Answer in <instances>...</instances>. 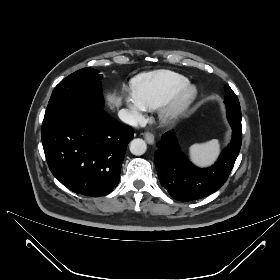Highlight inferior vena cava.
I'll return each mask as SVG.
<instances>
[{
  "label": "inferior vena cava",
  "instance_id": "1",
  "mask_svg": "<svg viewBox=\"0 0 280 280\" xmlns=\"http://www.w3.org/2000/svg\"><path fill=\"white\" fill-rule=\"evenodd\" d=\"M118 117L120 118L121 121H123L133 127L138 126V122H137L136 118L134 117V115L126 109H121L118 112Z\"/></svg>",
  "mask_w": 280,
  "mask_h": 280
}]
</instances>
